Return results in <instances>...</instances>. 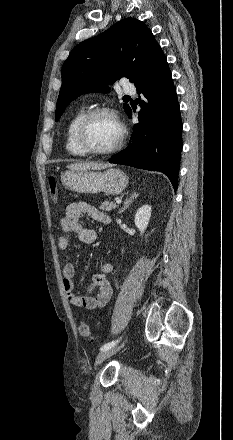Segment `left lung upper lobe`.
Instances as JSON below:
<instances>
[{
  "instance_id": "obj_1",
  "label": "left lung upper lobe",
  "mask_w": 233,
  "mask_h": 440,
  "mask_svg": "<svg viewBox=\"0 0 233 440\" xmlns=\"http://www.w3.org/2000/svg\"><path fill=\"white\" fill-rule=\"evenodd\" d=\"M162 52L151 30L134 18L117 22L100 35L74 47L62 67L56 121L67 105L83 93L108 92L107 85L127 77L134 84L144 77ZM126 113L130 107L124 104Z\"/></svg>"
}]
</instances>
